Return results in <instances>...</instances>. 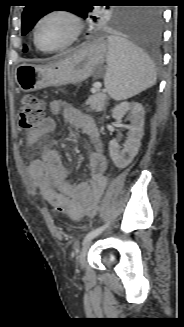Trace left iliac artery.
Listing matches in <instances>:
<instances>
[{
    "mask_svg": "<svg viewBox=\"0 0 184 327\" xmlns=\"http://www.w3.org/2000/svg\"><path fill=\"white\" fill-rule=\"evenodd\" d=\"M107 226H108V223L105 224V225H103V226H101V227H98V228H96V229L90 231V232L86 235V237H85V239H84V242H86V241H88V240H91V239H93L94 237H96L97 235H99L103 230H105V228H106Z\"/></svg>",
    "mask_w": 184,
    "mask_h": 327,
    "instance_id": "1",
    "label": "left iliac artery"
}]
</instances>
